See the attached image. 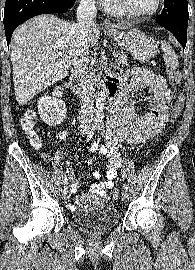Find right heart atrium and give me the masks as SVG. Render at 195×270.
<instances>
[{
  "label": "right heart atrium",
  "instance_id": "1",
  "mask_svg": "<svg viewBox=\"0 0 195 270\" xmlns=\"http://www.w3.org/2000/svg\"><path fill=\"white\" fill-rule=\"evenodd\" d=\"M89 1H93V0H89ZM100 2H102V3H104L105 2V0H99Z\"/></svg>",
  "mask_w": 195,
  "mask_h": 270
}]
</instances>
